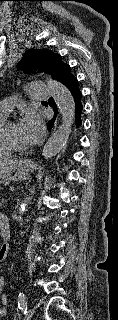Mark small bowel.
<instances>
[{
	"label": "small bowel",
	"instance_id": "small-bowel-1",
	"mask_svg": "<svg viewBox=\"0 0 118 320\" xmlns=\"http://www.w3.org/2000/svg\"><path fill=\"white\" fill-rule=\"evenodd\" d=\"M5 250V247L0 248V252H5ZM4 285L5 280L3 277L0 276V319L7 315L8 299L6 295L3 293Z\"/></svg>",
	"mask_w": 118,
	"mask_h": 320
}]
</instances>
